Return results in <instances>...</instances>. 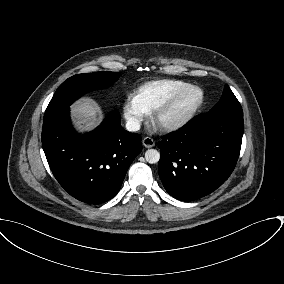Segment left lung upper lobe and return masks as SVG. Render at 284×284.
<instances>
[{
    "label": "left lung upper lobe",
    "instance_id": "5c2ea615",
    "mask_svg": "<svg viewBox=\"0 0 284 284\" xmlns=\"http://www.w3.org/2000/svg\"><path fill=\"white\" fill-rule=\"evenodd\" d=\"M210 111H231L243 113L241 105L228 85H225L222 97Z\"/></svg>",
    "mask_w": 284,
    "mask_h": 284
}]
</instances>
